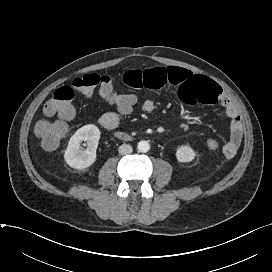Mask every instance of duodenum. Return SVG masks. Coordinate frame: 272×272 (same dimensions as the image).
Listing matches in <instances>:
<instances>
[{
    "instance_id": "duodenum-1",
    "label": "duodenum",
    "mask_w": 272,
    "mask_h": 272,
    "mask_svg": "<svg viewBox=\"0 0 272 272\" xmlns=\"http://www.w3.org/2000/svg\"><path fill=\"white\" fill-rule=\"evenodd\" d=\"M116 137L119 139H122V140H129L130 139V136L128 134H125L122 132L117 133Z\"/></svg>"
}]
</instances>
